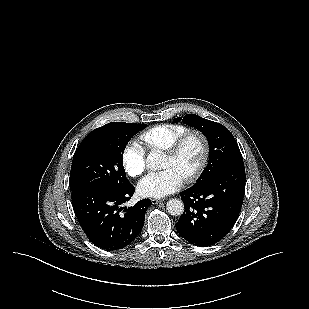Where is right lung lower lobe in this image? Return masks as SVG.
<instances>
[{"mask_svg":"<svg viewBox=\"0 0 309 309\" xmlns=\"http://www.w3.org/2000/svg\"><path fill=\"white\" fill-rule=\"evenodd\" d=\"M132 184L121 190L87 187L72 191V206L80 226L89 240L106 250H119L130 245L141 232L150 199L132 207H121L130 200ZM123 210V211H122Z\"/></svg>","mask_w":309,"mask_h":309,"instance_id":"1","label":"right lung lower lobe"}]
</instances>
